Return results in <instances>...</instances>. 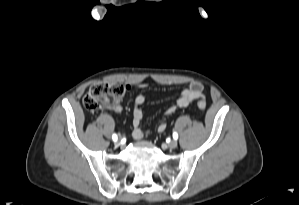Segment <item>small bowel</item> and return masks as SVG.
<instances>
[{
  "label": "small bowel",
  "instance_id": "obj_1",
  "mask_svg": "<svg viewBox=\"0 0 299 205\" xmlns=\"http://www.w3.org/2000/svg\"><path fill=\"white\" fill-rule=\"evenodd\" d=\"M129 88V87H128ZM203 86L199 82H191L187 88H185L180 96L176 99L175 103L169 106L165 111V116L173 114L178 108H186L196 99L204 98L203 96ZM146 97L144 94H139L134 99V106L132 111V124L133 132L132 135L135 139L140 140L144 138L148 131L143 130L140 125L143 120V111L141 106L145 103ZM116 113L122 111V106L120 104H115L111 107ZM167 127L166 121H163L159 124L157 130L163 132Z\"/></svg>",
  "mask_w": 299,
  "mask_h": 205
}]
</instances>
